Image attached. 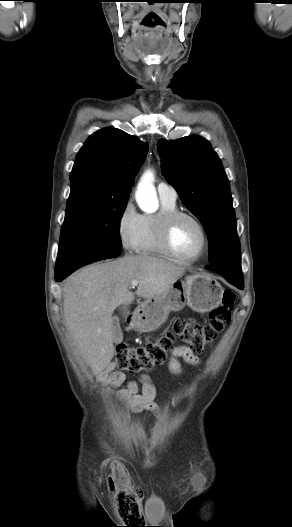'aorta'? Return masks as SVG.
Wrapping results in <instances>:
<instances>
[{
  "label": "aorta",
  "mask_w": 292,
  "mask_h": 527,
  "mask_svg": "<svg viewBox=\"0 0 292 527\" xmlns=\"http://www.w3.org/2000/svg\"><path fill=\"white\" fill-rule=\"evenodd\" d=\"M154 178V172L152 170H146L137 186L136 201L139 207L145 212H154L158 207Z\"/></svg>",
  "instance_id": "aorta-1"
}]
</instances>
